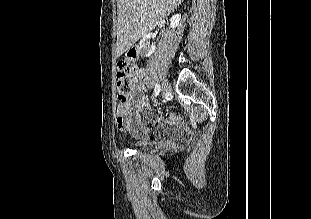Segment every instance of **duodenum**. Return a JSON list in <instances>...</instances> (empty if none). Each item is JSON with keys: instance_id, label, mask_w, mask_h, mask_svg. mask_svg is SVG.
<instances>
[{"instance_id": "obj_1", "label": "duodenum", "mask_w": 311, "mask_h": 219, "mask_svg": "<svg viewBox=\"0 0 311 219\" xmlns=\"http://www.w3.org/2000/svg\"><path fill=\"white\" fill-rule=\"evenodd\" d=\"M133 52L136 54V51H135V50H133Z\"/></svg>"}]
</instances>
